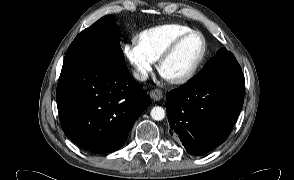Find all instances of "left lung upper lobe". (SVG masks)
Masks as SVG:
<instances>
[{
    "instance_id": "obj_1",
    "label": "left lung upper lobe",
    "mask_w": 294,
    "mask_h": 180,
    "mask_svg": "<svg viewBox=\"0 0 294 180\" xmlns=\"http://www.w3.org/2000/svg\"><path fill=\"white\" fill-rule=\"evenodd\" d=\"M225 72H242V69L233 53L226 48H221L217 55L212 57L202 71L191 80L204 81Z\"/></svg>"
}]
</instances>
